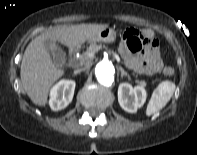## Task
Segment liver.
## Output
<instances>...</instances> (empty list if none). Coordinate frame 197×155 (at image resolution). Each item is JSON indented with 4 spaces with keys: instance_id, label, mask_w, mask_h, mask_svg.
<instances>
[{
    "instance_id": "1",
    "label": "liver",
    "mask_w": 197,
    "mask_h": 155,
    "mask_svg": "<svg viewBox=\"0 0 197 155\" xmlns=\"http://www.w3.org/2000/svg\"><path fill=\"white\" fill-rule=\"evenodd\" d=\"M107 27V24L58 27L37 36L29 43L21 62L20 78L24 91L34 104L45 106L51 86L64 75V71L52 62L45 42L58 41L69 48H74Z\"/></svg>"
}]
</instances>
